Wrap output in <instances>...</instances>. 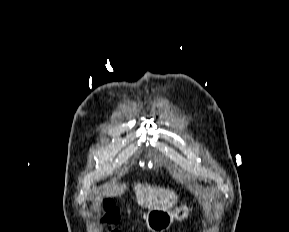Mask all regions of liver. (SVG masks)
<instances>
[{
  "label": "liver",
  "mask_w": 289,
  "mask_h": 232,
  "mask_svg": "<svg viewBox=\"0 0 289 232\" xmlns=\"http://www.w3.org/2000/svg\"><path fill=\"white\" fill-rule=\"evenodd\" d=\"M126 184L106 183L102 188V196L117 197L124 194ZM137 203L147 209H171L178 200L173 190L164 187L137 184L134 186Z\"/></svg>",
  "instance_id": "obj_1"
}]
</instances>
